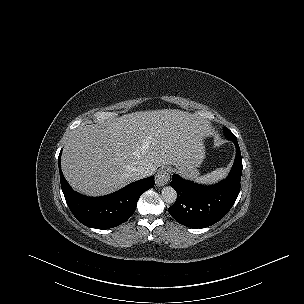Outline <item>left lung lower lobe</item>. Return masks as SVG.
Returning <instances> with one entry per match:
<instances>
[{
    "label": "left lung lower lobe",
    "instance_id": "obj_1",
    "mask_svg": "<svg viewBox=\"0 0 304 304\" xmlns=\"http://www.w3.org/2000/svg\"><path fill=\"white\" fill-rule=\"evenodd\" d=\"M236 157L229 176L211 186H204L172 176L170 185L177 192V200L169 208L170 215L180 224L191 228H205L221 220L234 205L240 192L242 157L237 140Z\"/></svg>",
    "mask_w": 304,
    "mask_h": 304
}]
</instances>
